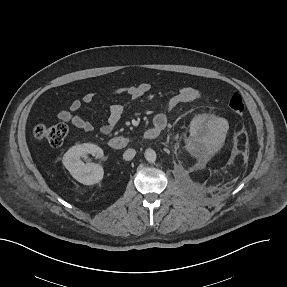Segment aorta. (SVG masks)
<instances>
[{
  "instance_id": "obj_1",
  "label": "aorta",
  "mask_w": 287,
  "mask_h": 287,
  "mask_svg": "<svg viewBox=\"0 0 287 287\" xmlns=\"http://www.w3.org/2000/svg\"><path fill=\"white\" fill-rule=\"evenodd\" d=\"M144 156L145 159L150 163L155 162L157 158L156 152L153 149H147L144 153Z\"/></svg>"
}]
</instances>
